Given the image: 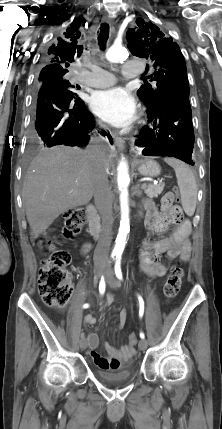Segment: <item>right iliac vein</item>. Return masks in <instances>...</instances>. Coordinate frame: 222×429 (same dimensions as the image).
I'll return each instance as SVG.
<instances>
[{"instance_id": "63e3f726", "label": "right iliac vein", "mask_w": 222, "mask_h": 429, "mask_svg": "<svg viewBox=\"0 0 222 429\" xmlns=\"http://www.w3.org/2000/svg\"><path fill=\"white\" fill-rule=\"evenodd\" d=\"M103 275V269L102 268H98L96 270V281H99L101 279ZM79 345L81 347V349H86L87 348V340L85 338V336H81L80 341H79Z\"/></svg>"}]
</instances>
